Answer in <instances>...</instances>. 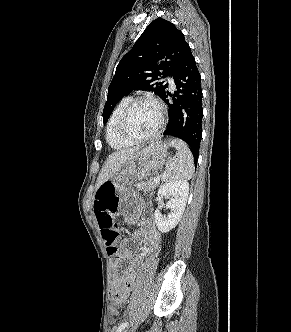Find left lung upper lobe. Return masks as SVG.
Instances as JSON below:
<instances>
[{"mask_svg":"<svg viewBox=\"0 0 291 332\" xmlns=\"http://www.w3.org/2000/svg\"><path fill=\"white\" fill-rule=\"evenodd\" d=\"M187 45L184 34L173 23L162 18L152 21L116 68L108 88L103 122L133 90H148L162 98L168 83L160 78L174 74ZM198 150L199 144L193 147V152Z\"/></svg>","mask_w":291,"mask_h":332,"instance_id":"1","label":"left lung upper lobe"}]
</instances>
